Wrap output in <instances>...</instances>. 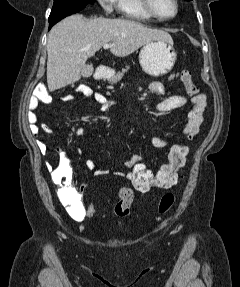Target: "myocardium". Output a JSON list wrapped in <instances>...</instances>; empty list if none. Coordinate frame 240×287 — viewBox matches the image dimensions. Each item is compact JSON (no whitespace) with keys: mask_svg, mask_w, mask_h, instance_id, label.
Wrapping results in <instances>:
<instances>
[{"mask_svg":"<svg viewBox=\"0 0 240 287\" xmlns=\"http://www.w3.org/2000/svg\"><path fill=\"white\" fill-rule=\"evenodd\" d=\"M142 6L146 13L150 15L152 18L159 20V21H169L174 19L180 10V5L178 0H174L175 4V12L171 16H162L160 15L154 8L152 0H141Z\"/></svg>","mask_w":240,"mask_h":287,"instance_id":"obj_1","label":"myocardium"}]
</instances>
